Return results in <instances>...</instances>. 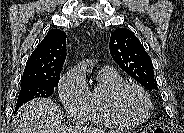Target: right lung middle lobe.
<instances>
[{
    "mask_svg": "<svg viewBox=\"0 0 184 133\" xmlns=\"http://www.w3.org/2000/svg\"><path fill=\"white\" fill-rule=\"evenodd\" d=\"M60 76L50 78L48 80H26L21 81V90L18 96L15 111H17L26 102L43 97L47 98L54 92V88L58 86Z\"/></svg>",
    "mask_w": 184,
    "mask_h": 133,
    "instance_id": "dd1d6c3e",
    "label": "right lung middle lobe"
}]
</instances>
